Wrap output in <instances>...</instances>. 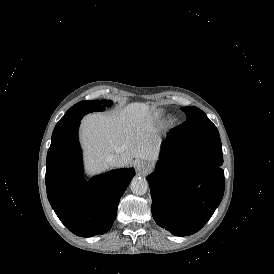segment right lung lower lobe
<instances>
[{
    "label": "right lung lower lobe",
    "mask_w": 274,
    "mask_h": 274,
    "mask_svg": "<svg viewBox=\"0 0 274 274\" xmlns=\"http://www.w3.org/2000/svg\"><path fill=\"white\" fill-rule=\"evenodd\" d=\"M82 117L79 115L68 129L51 140L45 182L48 200L61 222L74 234L91 237L111 228L119 200L135 172L113 170L86 182L78 142Z\"/></svg>",
    "instance_id": "98d812e1"
}]
</instances>
